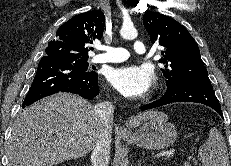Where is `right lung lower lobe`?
I'll use <instances>...</instances> for the list:
<instances>
[{
  "label": "right lung lower lobe",
  "instance_id": "right-lung-lower-lobe-1",
  "mask_svg": "<svg viewBox=\"0 0 231 166\" xmlns=\"http://www.w3.org/2000/svg\"><path fill=\"white\" fill-rule=\"evenodd\" d=\"M58 92H71L85 99H93L99 95L97 74L82 71L68 62L44 56L38 64L22 107Z\"/></svg>",
  "mask_w": 231,
  "mask_h": 166
}]
</instances>
